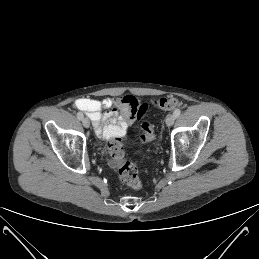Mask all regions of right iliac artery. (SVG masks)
Returning a JSON list of instances; mask_svg holds the SVG:
<instances>
[{"mask_svg": "<svg viewBox=\"0 0 259 259\" xmlns=\"http://www.w3.org/2000/svg\"><path fill=\"white\" fill-rule=\"evenodd\" d=\"M77 118H78L79 120H82V119H83V114H82L81 112H78V113H77Z\"/></svg>", "mask_w": 259, "mask_h": 259, "instance_id": "obj_1", "label": "right iliac artery"}]
</instances>
